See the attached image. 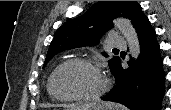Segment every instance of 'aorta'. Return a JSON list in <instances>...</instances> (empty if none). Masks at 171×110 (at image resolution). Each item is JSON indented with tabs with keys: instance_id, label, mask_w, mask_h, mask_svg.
Returning a JSON list of instances; mask_svg holds the SVG:
<instances>
[{
	"instance_id": "aorta-1",
	"label": "aorta",
	"mask_w": 171,
	"mask_h": 110,
	"mask_svg": "<svg viewBox=\"0 0 171 110\" xmlns=\"http://www.w3.org/2000/svg\"><path fill=\"white\" fill-rule=\"evenodd\" d=\"M115 27L126 38L129 52L134 59H137L140 54V43L135 28L130 20L125 18H117L114 20Z\"/></svg>"
}]
</instances>
